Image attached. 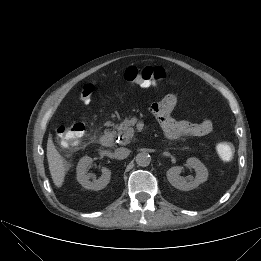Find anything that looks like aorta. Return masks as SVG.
Instances as JSON below:
<instances>
[{
    "label": "aorta",
    "instance_id": "762f6f07",
    "mask_svg": "<svg viewBox=\"0 0 261 261\" xmlns=\"http://www.w3.org/2000/svg\"><path fill=\"white\" fill-rule=\"evenodd\" d=\"M137 165L147 167L151 162V156L147 152H140L135 157Z\"/></svg>",
    "mask_w": 261,
    "mask_h": 261
}]
</instances>
